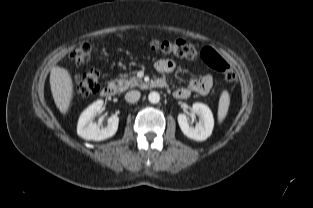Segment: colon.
I'll list each match as a JSON object with an SVG mask.
<instances>
[{
    "label": "colon",
    "instance_id": "1",
    "mask_svg": "<svg viewBox=\"0 0 313 208\" xmlns=\"http://www.w3.org/2000/svg\"><path fill=\"white\" fill-rule=\"evenodd\" d=\"M154 51L179 58L196 59L198 56L212 69L223 74L226 81L232 82L236 78L233 68L214 49L203 48L200 52L194 45L184 40L159 41L150 43ZM91 45L80 43L70 54L71 59L78 65L86 64L91 56ZM100 73L97 69H91L78 75L74 80V91L77 95L87 97L99 91Z\"/></svg>",
    "mask_w": 313,
    "mask_h": 208
}]
</instances>
